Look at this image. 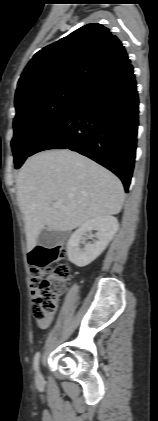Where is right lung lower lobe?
Masks as SVG:
<instances>
[{
	"label": "right lung lower lobe",
	"mask_w": 158,
	"mask_h": 421,
	"mask_svg": "<svg viewBox=\"0 0 158 421\" xmlns=\"http://www.w3.org/2000/svg\"><path fill=\"white\" fill-rule=\"evenodd\" d=\"M138 104L133 66L124 54L84 85L31 155L48 149L76 151L115 173L128 192L135 161Z\"/></svg>",
	"instance_id": "obj_1"
}]
</instances>
